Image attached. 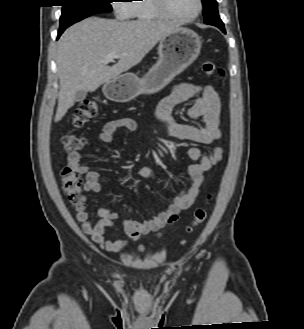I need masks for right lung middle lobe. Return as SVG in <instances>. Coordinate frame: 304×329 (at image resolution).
<instances>
[{"label":"right lung middle lobe","instance_id":"dd1d6c3e","mask_svg":"<svg viewBox=\"0 0 304 329\" xmlns=\"http://www.w3.org/2000/svg\"><path fill=\"white\" fill-rule=\"evenodd\" d=\"M63 8L60 17V28L70 25L93 14L111 12V0H62Z\"/></svg>","mask_w":304,"mask_h":329}]
</instances>
